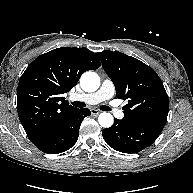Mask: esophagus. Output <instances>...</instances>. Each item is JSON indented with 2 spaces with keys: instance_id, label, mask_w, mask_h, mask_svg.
I'll list each match as a JSON object with an SVG mask.
<instances>
[{
  "instance_id": "34e87169",
  "label": "esophagus",
  "mask_w": 193,
  "mask_h": 193,
  "mask_svg": "<svg viewBox=\"0 0 193 193\" xmlns=\"http://www.w3.org/2000/svg\"><path fill=\"white\" fill-rule=\"evenodd\" d=\"M100 112H101V111H99V110H97V109H91V114H92L93 116L99 115Z\"/></svg>"
}]
</instances>
